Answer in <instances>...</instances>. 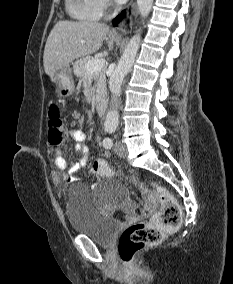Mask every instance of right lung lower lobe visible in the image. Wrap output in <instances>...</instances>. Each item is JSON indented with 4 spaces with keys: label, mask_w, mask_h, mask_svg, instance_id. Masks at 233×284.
I'll list each match as a JSON object with an SVG mask.
<instances>
[{
    "label": "right lung lower lobe",
    "mask_w": 233,
    "mask_h": 284,
    "mask_svg": "<svg viewBox=\"0 0 233 284\" xmlns=\"http://www.w3.org/2000/svg\"><path fill=\"white\" fill-rule=\"evenodd\" d=\"M124 14H125V11H123L120 15H118V16L113 20V23H114L115 26L120 22V20H121L122 17L124 16Z\"/></svg>",
    "instance_id": "obj_1"
}]
</instances>
